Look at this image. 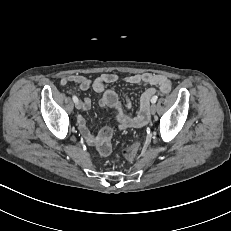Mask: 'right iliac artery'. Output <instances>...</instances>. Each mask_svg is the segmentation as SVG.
<instances>
[{
    "label": "right iliac artery",
    "instance_id": "right-iliac-artery-1",
    "mask_svg": "<svg viewBox=\"0 0 231 231\" xmlns=\"http://www.w3.org/2000/svg\"><path fill=\"white\" fill-rule=\"evenodd\" d=\"M72 99L75 103L78 101V98L75 95L72 97Z\"/></svg>",
    "mask_w": 231,
    "mask_h": 231
}]
</instances>
